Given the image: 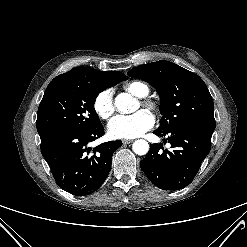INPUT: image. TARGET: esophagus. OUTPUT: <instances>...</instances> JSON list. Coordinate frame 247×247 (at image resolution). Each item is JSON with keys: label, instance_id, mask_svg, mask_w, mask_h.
<instances>
[{"label": "esophagus", "instance_id": "34e87169", "mask_svg": "<svg viewBox=\"0 0 247 247\" xmlns=\"http://www.w3.org/2000/svg\"><path fill=\"white\" fill-rule=\"evenodd\" d=\"M132 142H133V140H128V139L122 140V143H123V144H130V143H132Z\"/></svg>", "mask_w": 247, "mask_h": 247}]
</instances>
